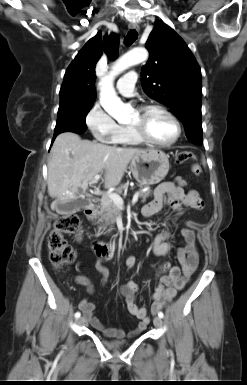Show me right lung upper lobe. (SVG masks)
Masks as SVG:
<instances>
[{"label": "right lung upper lobe", "instance_id": "1", "mask_svg": "<svg viewBox=\"0 0 247 385\" xmlns=\"http://www.w3.org/2000/svg\"><path fill=\"white\" fill-rule=\"evenodd\" d=\"M118 49L119 38L116 34L105 36L103 42L100 32L91 38L67 68L60 89V99L94 100L96 97L95 65L103 51L109 58L115 59L118 56Z\"/></svg>", "mask_w": 247, "mask_h": 385}]
</instances>
